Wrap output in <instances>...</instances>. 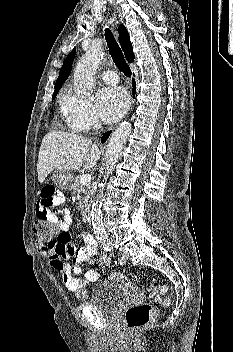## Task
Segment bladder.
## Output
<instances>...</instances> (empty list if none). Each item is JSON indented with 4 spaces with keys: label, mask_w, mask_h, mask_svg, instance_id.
Returning <instances> with one entry per match:
<instances>
[{
    "label": "bladder",
    "mask_w": 233,
    "mask_h": 352,
    "mask_svg": "<svg viewBox=\"0 0 233 352\" xmlns=\"http://www.w3.org/2000/svg\"><path fill=\"white\" fill-rule=\"evenodd\" d=\"M126 300L122 289L110 281L98 283L92 290L88 303L101 313L114 316Z\"/></svg>",
    "instance_id": "bladder-1"
}]
</instances>
